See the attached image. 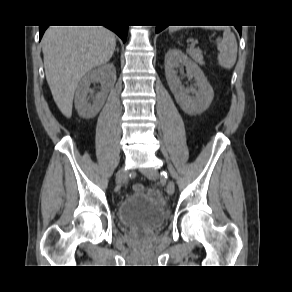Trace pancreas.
<instances>
[{"instance_id": "cf45deb5", "label": "pancreas", "mask_w": 292, "mask_h": 292, "mask_svg": "<svg viewBox=\"0 0 292 292\" xmlns=\"http://www.w3.org/2000/svg\"><path fill=\"white\" fill-rule=\"evenodd\" d=\"M188 54L200 65L204 64L203 56L197 50H188Z\"/></svg>"}]
</instances>
